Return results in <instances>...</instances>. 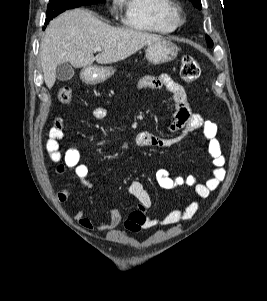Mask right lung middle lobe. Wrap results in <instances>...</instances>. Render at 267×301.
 Wrapping results in <instances>:
<instances>
[{
	"mask_svg": "<svg viewBox=\"0 0 267 301\" xmlns=\"http://www.w3.org/2000/svg\"><path fill=\"white\" fill-rule=\"evenodd\" d=\"M49 4L47 7V13H46V21L45 25H47L50 20L55 18L60 13L80 7L82 5H90L92 3H99L101 0H49Z\"/></svg>",
	"mask_w": 267,
	"mask_h": 301,
	"instance_id": "right-lung-middle-lobe-1",
	"label": "right lung middle lobe"
}]
</instances>
